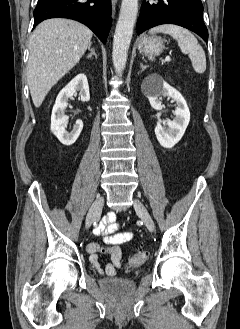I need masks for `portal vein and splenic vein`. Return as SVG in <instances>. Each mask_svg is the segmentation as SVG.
<instances>
[{
    "instance_id": "1",
    "label": "portal vein and splenic vein",
    "mask_w": 240,
    "mask_h": 329,
    "mask_svg": "<svg viewBox=\"0 0 240 329\" xmlns=\"http://www.w3.org/2000/svg\"><path fill=\"white\" fill-rule=\"evenodd\" d=\"M171 59H170V56H167L166 58H165V62H169Z\"/></svg>"
}]
</instances>
